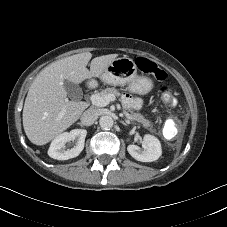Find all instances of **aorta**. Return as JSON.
<instances>
[{
    "label": "aorta",
    "mask_w": 227,
    "mask_h": 227,
    "mask_svg": "<svg viewBox=\"0 0 227 227\" xmlns=\"http://www.w3.org/2000/svg\"><path fill=\"white\" fill-rule=\"evenodd\" d=\"M99 124L102 129L109 130L113 127L114 120L111 116L105 115L100 117Z\"/></svg>",
    "instance_id": "762f6f07"
}]
</instances>
